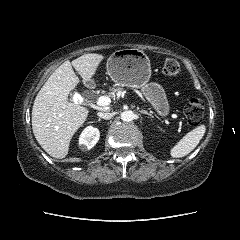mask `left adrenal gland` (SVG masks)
I'll list each match as a JSON object with an SVG mask.
<instances>
[{
    "mask_svg": "<svg viewBox=\"0 0 240 240\" xmlns=\"http://www.w3.org/2000/svg\"><path fill=\"white\" fill-rule=\"evenodd\" d=\"M140 112L153 118V115L150 112H147L146 110H141Z\"/></svg>",
    "mask_w": 240,
    "mask_h": 240,
    "instance_id": "1",
    "label": "left adrenal gland"
}]
</instances>
